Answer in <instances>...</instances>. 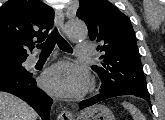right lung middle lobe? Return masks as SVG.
Instances as JSON below:
<instances>
[{
    "instance_id": "1",
    "label": "right lung middle lobe",
    "mask_w": 165,
    "mask_h": 120,
    "mask_svg": "<svg viewBox=\"0 0 165 120\" xmlns=\"http://www.w3.org/2000/svg\"><path fill=\"white\" fill-rule=\"evenodd\" d=\"M22 61H11L0 63V73H14V74H29L27 70L22 66Z\"/></svg>"
}]
</instances>
